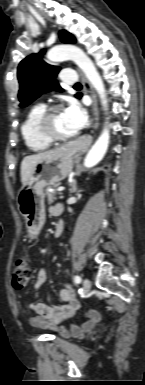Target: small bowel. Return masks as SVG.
I'll use <instances>...</instances> for the list:
<instances>
[{
	"label": "small bowel",
	"mask_w": 145,
	"mask_h": 385,
	"mask_svg": "<svg viewBox=\"0 0 145 385\" xmlns=\"http://www.w3.org/2000/svg\"><path fill=\"white\" fill-rule=\"evenodd\" d=\"M61 212V206H54L51 209L53 215ZM47 279V272L44 268L38 270L34 287L40 288ZM61 305L50 306L42 302L30 303L24 308L28 315L30 324L58 332L63 337H80L84 332L91 330L101 319V314L96 310H89L84 315L80 324H66L73 318L81 307L80 301L75 297L74 291L68 285H63L59 290Z\"/></svg>",
	"instance_id": "small-bowel-1"
}]
</instances>
